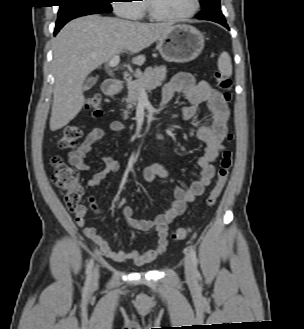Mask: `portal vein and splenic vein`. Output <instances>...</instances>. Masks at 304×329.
Listing matches in <instances>:
<instances>
[{
    "label": "portal vein and splenic vein",
    "mask_w": 304,
    "mask_h": 329,
    "mask_svg": "<svg viewBox=\"0 0 304 329\" xmlns=\"http://www.w3.org/2000/svg\"><path fill=\"white\" fill-rule=\"evenodd\" d=\"M119 62H120V57L118 55H116L109 61V66L114 68L119 64ZM145 95H146V91L142 90L141 96H145Z\"/></svg>",
    "instance_id": "1"
}]
</instances>
